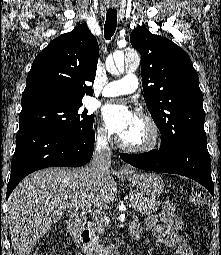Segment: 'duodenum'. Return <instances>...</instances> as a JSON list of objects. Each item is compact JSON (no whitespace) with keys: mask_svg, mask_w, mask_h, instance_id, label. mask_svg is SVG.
<instances>
[{"mask_svg":"<svg viewBox=\"0 0 221 255\" xmlns=\"http://www.w3.org/2000/svg\"><path fill=\"white\" fill-rule=\"evenodd\" d=\"M67 230L75 245L87 251L92 242L91 228L84 224L83 216L76 215L67 223ZM95 254L101 255L98 252Z\"/></svg>","mask_w":221,"mask_h":255,"instance_id":"1","label":"duodenum"}]
</instances>
